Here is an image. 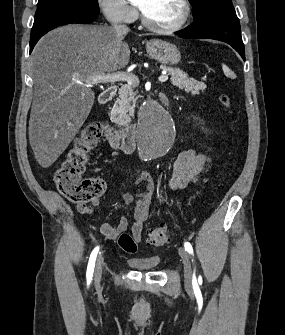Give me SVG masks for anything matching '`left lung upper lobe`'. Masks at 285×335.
<instances>
[{
  "instance_id": "left-lung-upper-lobe-1",
  "label": "left lung upper lobe",
  "mask_w": 285,
  "mask_h": 335,
  "mask_svg": "<svg viewBox=\"0 0 285 335\" xmlns=\"http://www.w3.org/2000/svg\"><path fill=\"white\" fill-rule=\"evenodd\" d=\"M193 6V18L199 17L206 11L214 8L231 9L234 8L232 0H189Z\"/></svg>"
}]
</instances>
